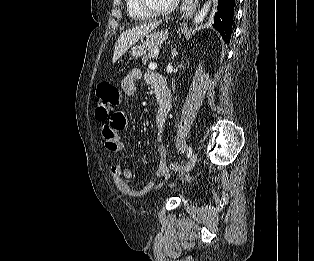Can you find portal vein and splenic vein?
Instances as JSON below:
<instances>
[{"mask_svg": "<svg viewBox=\"0 0 314 261\" xmlns=\"http://www.w3.org/2000/svg\"><path fill=\"white\" fill-rule=\"evenodd\" d=\"M156 68H157V64L156 63H150L149 64V69L155 70Z\"/></svg>", "mask_w": 314, "mask_h": 261, "instance_id": "1", "label": "portal vein and splenic vein"}]
</instances>
